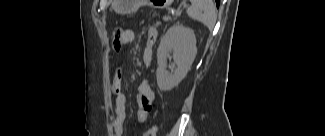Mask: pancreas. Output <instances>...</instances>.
Wrapping results in <instances>:
<instances>
[{
	"label": "pancreas",
	"mask_w": 325,
	"mask_h": 136,
	"mask_svg": "<svg viewBox=\"0 0 325 136\" xmlns=\"http://www.w3.org/2000/svg\"><path fill=\"white\" fill-rule=\"evenodd\" d=\"M157 16L159 24H167L168 19H175V16H169V12H159Z\"/></svg>",
	"instance_id": "obj_1"
}]
</instances>
